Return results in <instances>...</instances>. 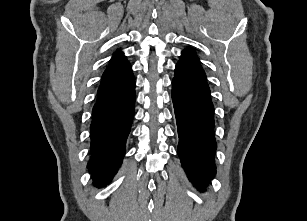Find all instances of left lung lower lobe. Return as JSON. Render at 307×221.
I'll return each mask as SVG.
<instances>
[{
	"instance_id": "0a47b994",
	"label": "left lung lower lobe",
	"mask_w": 307,
	"mask_h": 221,
	"mask_svg": "<svg viewBox=\"0 0 307 221\" xmlns=\"http://www.w3.org/2000/svg\"><path fill=\"white\" fill-rule=\"evenodd\" d=\"M172 100L179 135L178 155L190 180L204 190L216 172L214 107L198 58L185 51L175 68Z\"/></svg>"
}]
</instances>
